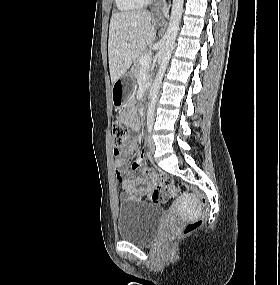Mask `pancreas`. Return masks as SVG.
I'll return each mask as SVG.
<instances>
[{"label":"pancreas","mask_w":280,"mask_h":285,"mask_svg":"<svg viewBox=\"0 0 280 285\" xmlns=\"http://www.w3.org/2000/svg\"><path fill=\"white\" fill-rule=\"evenodd\" d=\"M149 54V51L148 50H144L138 57L137 59L134 61V64H133V67L131 69L133 75L135 78H137L140 74V71L142 70V65L140 63V59L142 56H145V55H148ZM147 71L148 73L151 71L150 70V66L147 67ZM149 78H150V75H149Z\"/></svg>","instance_id":"pancreas-1"}]
</instances>
